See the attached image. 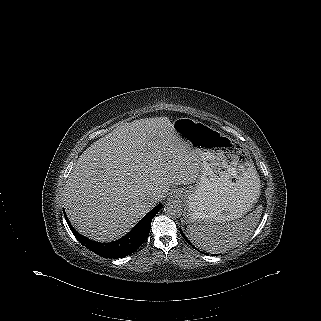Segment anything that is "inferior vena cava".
Instances as JSON below:
<instances>
[{
  "label": "inferior vena cava",
  "mask_w": 321,
  "mask_h": 321,
  "mask_svg": "<svg viewBox=\"0 0 321 321\" xmlns=\"http://www.w3.org/2000/svg\"><path fill=\"white\" fill-rule=\"evenodd\" d=\"M147 200H148L149 204L155 205V200H156L155 197H150V198H148Z\"/></svg>",
  "instance_id": "602c4592"
}]
</instances>
